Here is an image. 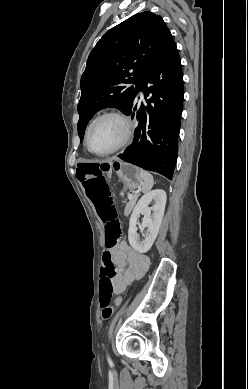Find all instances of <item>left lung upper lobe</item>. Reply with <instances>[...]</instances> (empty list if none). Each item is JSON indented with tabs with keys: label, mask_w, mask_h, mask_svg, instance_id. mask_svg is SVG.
<instances>
[{
	"label": "left lung upper lobe",
	"mask_w": 248,
	"mask_h": 389,
	"mask_svg": "<svg viewBox=\"0 0 248 389\" xmlns=\"http://www.w3.org/2000/svg\"><path fill=\"white\" fill-rule=\"evenodd\" d=\"M162 17L138 13L110 29L91 51L81 77L78 133L99 110L133 103L151 68L174 44ZM134 83V86L129 84Z\"/></svg>",
	"instance_id": "obj_1"
}]
</instances>
